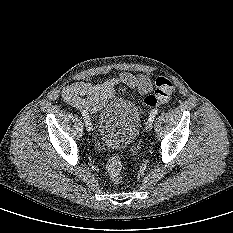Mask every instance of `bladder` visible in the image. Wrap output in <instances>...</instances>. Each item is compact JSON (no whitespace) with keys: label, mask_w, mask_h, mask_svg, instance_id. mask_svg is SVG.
Here are the masks:
<instances>
[{"label":"bladder","mask_w":233,"mask_h":233,"mask_svg":"<svg viewBox=\"0 0 233 233\" xmlns=\"http://www.w3.org/2000/svg\"><path fill=\"white\" fill-rule=\"evenodd\" d=\"M140 122L139 109L132 101L125 98L112 99L99 115L101 138L110 148H126L136 138Z\"/></svg>","instance_id":"bladder-1"}]
</instances>
